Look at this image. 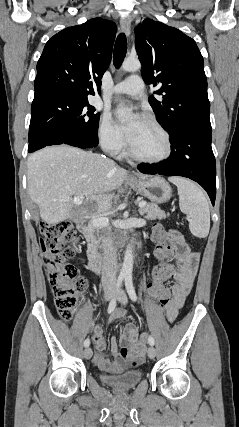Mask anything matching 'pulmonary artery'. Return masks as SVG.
<instances>
[{
  "label": "pulmonary artery",
  "instance_id": "pulmonary-artery-1",
  "mask_svg": "<svg viewBox=\"0 0 239 427\" xmlns=\"http://www.w3.org/2000/svg\"><path fill=\"white\" fill-rule=\"evenodd\" d=\"M144 90V83L140 76L132 75L124 81L116 84L112 89L115 94H126L133 97H139Z\"/></svg>",
  "mask_w": 239,
  "mask_h": 427
}]
</instances>
